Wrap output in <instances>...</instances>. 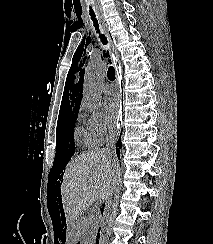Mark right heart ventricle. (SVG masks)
<instances>
[{
	"mask_svg": "<svg viewBox=\"0 0 213 244\" xmlns=\"http://www.w3.org/2000/svg\"><path fill=\"white\" fill-rule=\"evenodd\" d=\"M75 135L76 137L83 142L84 144L88 145L87 139H86V134L83 128L77 127L75 130Z\"/></svg>",
	"mask_w": 213,
	"mask_h": 244,
	"instance_id": "e07e8e85",
	"label": "right heart ventricle"
}]
</instances>
